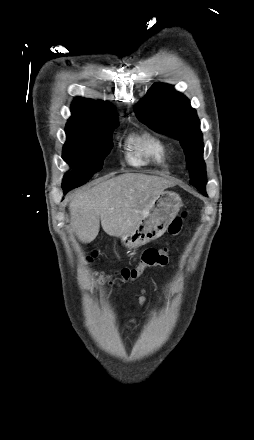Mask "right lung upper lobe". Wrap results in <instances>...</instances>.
Instances as JSON below:
<instances>
[{"mask_svg":"<svg viewBox=\"0 0 254 440\" xmlns=\"http://www.w3.org/2000/svg\"><path fill=\"white\" fill-rule=\"evenodd\" d=\"M72 117L67 125L106 128L115 125L116 113L109 103L76 97L71 105Z\"/></svg>","mask_w":254,"mask_h":440,"instance_id":"right-lung-upper-lobe-1","label":"right lung upper lobe"}]
</instances>
